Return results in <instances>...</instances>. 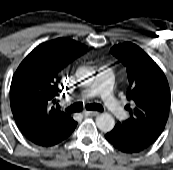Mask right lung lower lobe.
<instances>
[{"instance_id": "98d812e1", "label": "right lung lower lobe", "mask_w": 173, "mask_h": 170, "mask_svg": "<svg viewBox=\"0 0 173 170\" xmlns=\"http://www.w3.org/2000/svg\"><path fill=\"white\" fill-rule=\"evenodd\" d=\"M76 125H77V122H75L73 120L70 123V125L65 126L62 129H60L56 132H53L52 134H50L48 136H44V137H41L39 139L30 140V141L32 143H34L38 146H42V147H48V146L56 145V144L60 143L61 141H63L64 139H66L68 136H70V134L76 128Z\"/></svg>"}]
</instances>
